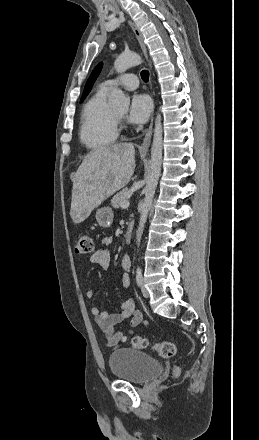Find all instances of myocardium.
Instances as JSON below:
<instances>
[{
  "mask_svg": "<svg viewBox=\"0 0 259 440\" xmlns=\"http://www.w3.org/2000/svg\"><path fill=\"white\" fill-rule=\"evenodd\" d=\"M115 118H116V120H117L118 123H120L121 120H122V117L119 116V115H117V114H115Z\"/></svg>",
  "mask_w": 259,
  "mask_h": 440,
  "instance_id": "myocardium-1",
  "label": "myocardium"
}]
</instances>
